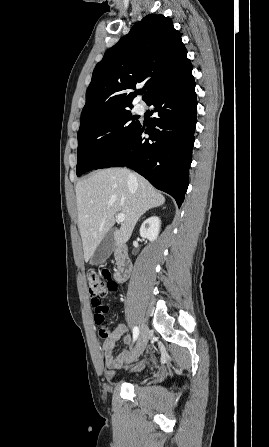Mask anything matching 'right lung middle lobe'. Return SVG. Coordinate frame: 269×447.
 I'll return each instance as SVG.
<instances>
[{
  "label": "right lung middle lobe",
  "mask_w": 269,
  "mask_h": 447,
  "mask_svg": "<svg viewBox=\"0 0 269 447\" xmlns=\"http://www.w3.org/2000/svg\"><path fill=\"white\" fill-rule=\"evenodd\" d=\"M131 108V107H129ZM128 108L107 112L79 128L77 176L98 166L139 127Z\"/></svg>",
  "instance_id": "obj_1"
}]
</instances>
